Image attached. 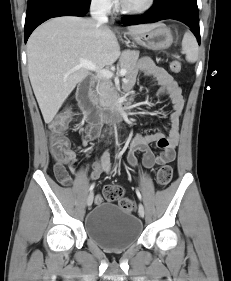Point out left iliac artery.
I'll return each mask as SVG.
<instances>
[{
	"label": "left iliac artery",
	"instance_id": "obj_1",
	"mask_svg": "<svg viewBox=\"0 0 231 281\" xmlns=\"http://www.w3.org/2000/svg\"><path fill=\"white\" fill-rule=\"evenodd\" d=\"M136 194H137V196H138L139 200H142L141 193L139 192V190H138V189L136 190Z\"/></svg>",
	"mask_w": 231,
	"mask_h": 281
}]
</instances>
